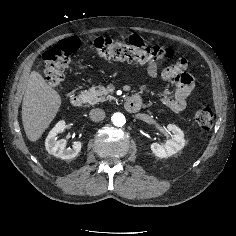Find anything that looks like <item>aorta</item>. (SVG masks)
Returning a JSON list of instances; mask_svg holds the SVG:
<instances>
[{
    "mask_svg": "<svg viewBox=\"0 0 236 236\" xmlns=\"http://www.w3.org/2000/svg\"><path fill=\"white\" fill-rule=\"evenodd\" d=\"M112 122L115 126L122 127L126 123L125 116L122 113H114Z\"/></svg>",
    "mask_w": 236,
    "mask_h": 236,
    "instance_id": "aorta-1",
    "label": "aorta"
}]
</instances>
